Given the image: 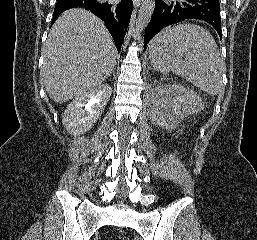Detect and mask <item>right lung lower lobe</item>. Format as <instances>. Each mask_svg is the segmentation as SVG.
Masks as SVG:
<instances>
[{
    "instance_id": "98d812e1",
    "label": "right lung lower lobe",
    "mask_w": 257,
    "mask_h": 240,
    "mask_svg": "<svg viewBox=\"0 0 257 240\" xmlns=\"http://www.w3.org/2000/svg\"><path fill=\"white\" fill-rule=\"evenodd\" d=\"M73 7L86 8L99 17L120 51L133 10L132 0H121L119 3L108 0H57L52 24L62 12Z\"/></svg>"
}]
</instances>
